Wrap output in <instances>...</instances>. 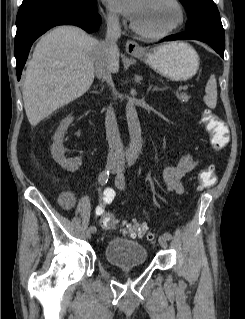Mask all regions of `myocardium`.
I'll return each mask as SVG.
<instances>
[{
    "instance_id": "myocardium-1",
    "label": "myocardium",
    "mask_w": 245,
    "mask_h": 319,
    "mask_svg": "<svg viewBox=\"0 0 245 319\" xmlns=\"http://www.w3.org/2000/svg\"><path fill=\"white\" fill-rule=\"evenodd\" d=\"M169 1L176 8L177 15H178L176 22L172 26H170L164 30H161V31L151 32V31H146V30L140 28L134 21H132L131 28L133 29V31L144 38L160 39V38H164L166 36H169L172 33H174L176 30H178L184 23L185 11H184V8L179 0H169Z\"/></svg>"
}]
</instances>
